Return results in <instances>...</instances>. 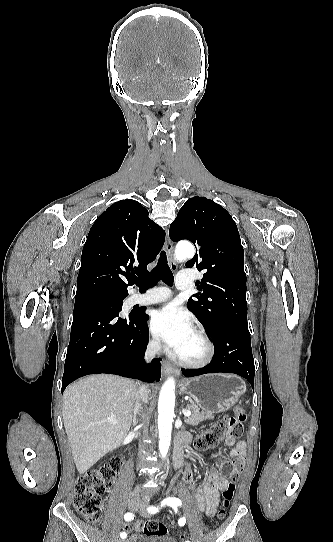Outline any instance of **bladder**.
I'll return each instance as SVG.
<instances>
[{
  "instance_id": "31cf9c89",
  "label": "bladder",
  "mask_w": 333,
  "mask_h": 542,
  "mask_svg": "<svg viewBox=\"0 0 333 542\" xmlns=\"http://www.w3.org/2000/svg\"><path fill=\"white\" fill-rule=\"evenodd\" d=\"M140 542H177L170 535H161V534H149L144 537Z\"/></svg>"
}]
</instances>
